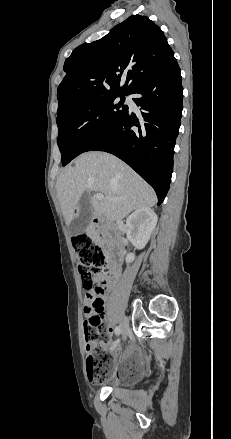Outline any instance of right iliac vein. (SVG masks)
Returning <instances> with one entry per match:
<instances>
[{
    "mask_svg": "<svg viewBox=\"0 0 231 439\" xmlns=\"http://www.w3.org/2000/svg\"><path fill=\"white\" fill-rule=\"evenodd\" d=\"M120 329H121L122 337L125 340L127 338L128 332H129V327H128V323H127L126 319H123L121 321Z\"/></svg>",
    "mask_w": 231,
    "mask_h": 439,
    "instance_id": "1",
    "label": "right iliac vein"
}]
</instances>
